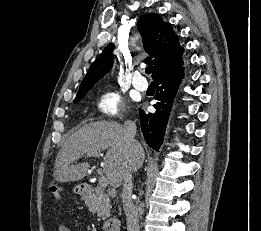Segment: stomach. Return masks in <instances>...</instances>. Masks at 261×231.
Wrapping results in <instances>:
<instances>
[{
    "instance_id": "0dacf381",
    "label": "stomach",
    "mask_w": 261,
    "mask_h": 231,
    "mask_svg": "<svg viewBox=\"0 0 261 231\" xmlns=\"http://www.w3.org/2000/svg\"><path fill=\"white\" fill-rule=\"evenodd\" d=\"M74 191H75V192H79V191H80L79 186L75 187Z\"/></svg>"
}]
</instances>
